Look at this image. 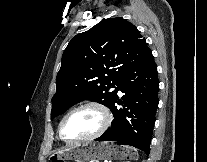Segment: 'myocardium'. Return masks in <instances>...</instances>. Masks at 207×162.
<instances>
[{"label": "myocardium", "mask_w": 207, "mask_h": 162, "mask_svg": "<svg viewBox=\"0 0 207 162\" xmlns=\"http://www.w3.org/2000/svg\"><path fill=\"white\" fill-rule=\"evenodd\" d=\"M84 108H94L96 110L99 111L101 118H102V123L101 126L99 127V129L86 136V137H82V138H78V139H73V140H68L64 137V126L65 123L67 121V119L73 115L75 112L84 109ZM111 112L108 109V107L106 105H104L103 103L99 102V101H88L85 103H82L78 106H76L75 108H73L71 111H69L61 120L60 125H59V137L62 141L66 142V143H79V142H84V141H88V140H92L95 139L97 137H99L100 135H102L109 127L110 123H111Z\"/></svg>", "instance_id": "obj_1"}]
</instances>
